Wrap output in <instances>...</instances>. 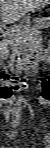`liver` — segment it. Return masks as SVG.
Wrapping results in <instances>:
<instances>
[{
    "label": "liver",
    "mask_w": 50,
    "mask_h": 148,
    "mask_svg": "<svg viewBox=\"0 0 50 148\" xmlns=\"http://www.w3.org/2000/svg\"><path fill=\"white\" fill-rule=\"evenodd\" d=\"M49 0H1L2 23H14L26 13L48 4Z\"/></svg>",
    "instance_id": "6515ba94"
}]
</instances>
